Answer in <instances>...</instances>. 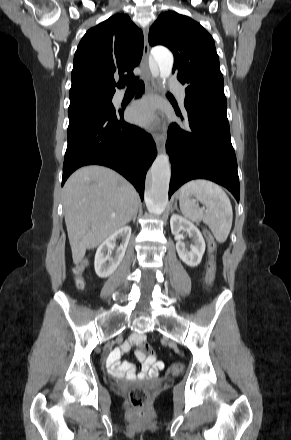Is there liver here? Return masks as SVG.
Instances as JSON below:
<instances>
[{"label": "liver", "instance_id": "6515ba94", "mask_svg": "<svg viewBox=\"0 0 291 440\" xmlns=\"http://www.w3.org/2000/svg\"><path fill=\"white\" fill-rule=\"evenodd\" d=\"M138 205L135 188L115 171L98 165L75 171L63 188L73 262L79 264L87 249L95 248L129 223Z\"/></svg>", "mask_w": 291, "mask_h": 440}]
</instances>
